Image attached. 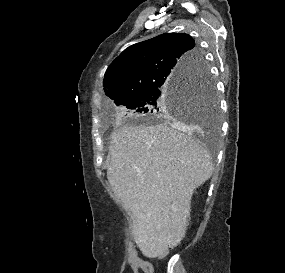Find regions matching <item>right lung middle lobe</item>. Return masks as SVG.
<instances>
[{
    "mask_svg": "<svg viewBox=\"0 0 285 273\" xmlns=\"http://www.w3.org/2000/svg\"><path fill=\"white\" fill-rule=\"evenodd\" d=\"M122 105L156 118L201 121L214 131L219 126L216 87L205 63L197 73L155 86Z\"/></svg>",
    "mask_w": 285,
    "mask_h": 273,
    "instance_id": "dd1d6c3e",
    "label": "right lung middle lobe"
}]
</instances>
